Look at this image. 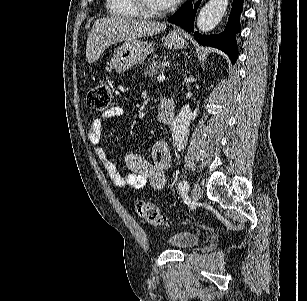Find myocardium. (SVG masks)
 I'll use <instances>...</instances> for the list:
<instances>
[{
    "label": "myocardium",
    "instance_id": "obj_1",
    "mask_svg": "<svg viewBox=\"0 0 307 301\" xmlns=\"http://www.w3.org/2000/svg\"><path fill=\"white\" fill-rule=\"evenodd\" d=\"M134 11L140 14L137 17H145L146 22H155L156 18L171 17L170 4H152L147 0H134ZM146 7V8H145Z\"/></svg>",
    "mask_w": 307,
    "mask_h": 301
}]
</instances>
